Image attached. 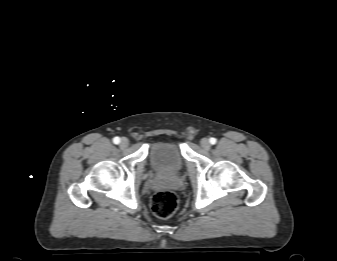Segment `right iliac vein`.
<instances>
[{
  "instance_id": "right-iliac-vein-1",
  "label": "right iliac vein",
  "mask_w": 337,
  "mask_h": 261,
  "mask_svg": "<svg viewBox=\"0 0 337 261\" xmlns=\"http://www.w3.org/2000/svg\"><path fill=\"white\" fill-rule=\"evenodd\" d=\"M129 145V140L127 138H122L120 141V147L121 148H126Z\"/></svg>"
}]
</instances>
